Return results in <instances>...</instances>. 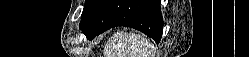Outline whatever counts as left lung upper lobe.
Segmentation results:
<instances>
[{
  "mask_svg": "<svg viewBox=\"0 0 249 57\" xmlns=\"http://www.w3.org/2000/svg\"><path fill=\"white\" fill-rule=\"evenodd\" d=\"M106 1L107 0H86L80 25L90 20Z\"/></svg>",
  "mask_w": 249,
  "mask_h": 57,
  "instance_id": "obj_1",
  "label": "left lung upper lobe"
}]
</instances>
